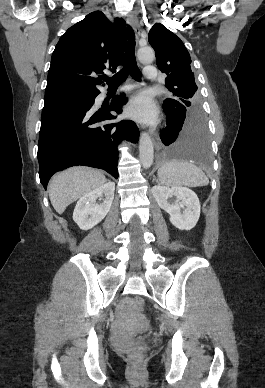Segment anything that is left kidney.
Instances as JSON below:
<instances>
[{
	"mask_svg": "<svg viewBox=\"0 0 265 388\" xmlns=\"http://www.w3.org/2000/svg\"><path fill=\"white\" fill-rule=\"evenodd\" d=\"M158 206L170 214V222L179 230H192L200 216V202L189 188L153 186L151 190ZM184 208V210H182Z\"/></svg>",
	"mask_w": 265,
	"mask_h": 388,
	"instance_id": "1",
	"label": "left kidney"
}]
</instances>
